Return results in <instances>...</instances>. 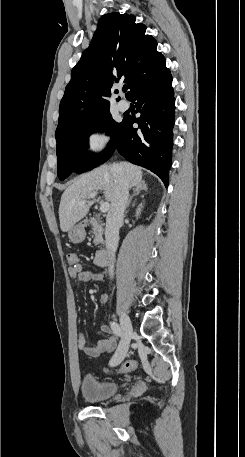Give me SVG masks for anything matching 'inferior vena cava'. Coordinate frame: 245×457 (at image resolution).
Segmentation results:
<instances>
[{"instance_id": "1", "label": "inferior vena cava", "mask_w": 245, "mask_h": 457, "mask_svg": "<svg viewBox=\"0 0 245 457\" xmlns=\"http://www.w3.org/2000/svg\"><path fill=\"white\" fill-rule=\"evenodd\" d=\"M112 174L115 182L114 198L106 216L105 243L106 249L111 257L109 265L110 277H113L114 255L119 243V229L123 222L129 196V182L121 166H112Z\"/></svg>"}]
</instances>
